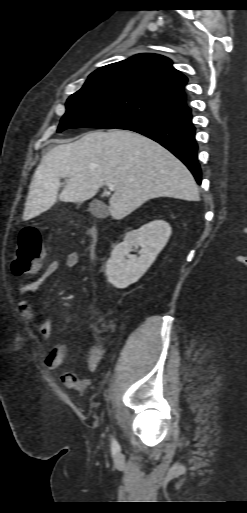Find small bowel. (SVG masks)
<instances>
[{
    "mask_svg": "<svg viewBox=\"0 0 247 513\" xmlns=\"http://www.w3.org/2000/svg\"><path fill=\"white\" fill-rule=\"evenodd\" d=\"M79 254L77 252H68L65 256V266L67 268H76L79 265ZM59 268V261L52 259L47 267L43 270L41 275L24 285L19 294L17 308L19 312L31 322L38 334L45 340L51 338V325L49 321L40 319L32 311L30 303V295L42 285L48 278H50ZM68 353V348L65 344H56L52 347L51 351L44 359V364L49 370L59 369L65 362ZM102 350L99 346H91L85 357V367L89 372H94L101 360ZM61 381L67 388L84 389L89 385L88 379H80L76 373L64 372L61 375Z\"/></svg>",
    "mask_w": 247,
    "mask_h": 513,
    "instance_id": "small-bowel-1",
    "label": "small bowel"
}]
</instances>
